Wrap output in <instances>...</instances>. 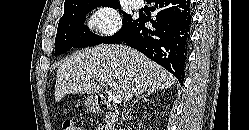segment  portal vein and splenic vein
Instances as JSON below:
<instances>
[{
  "mask_svg": "<svg viewBox=\"0 0 249 130\" xmlns=\"http://www.w3.org/2000/svg\"><path fill=\"white\" fill-rule=\"evenodd\" d=\"M101 83H105V84L109 85L114 90L113 103L119 104L122 102V100H123L122 91H120L116 88L117 84L113 80H109V79L101 80Z\"/></svg>",
  "mask_w": 249,
  "mask_h": 130,
  "instance_id": "18ae733b",
  "label": "portal vein and splenic vein"
}]
</instances>
